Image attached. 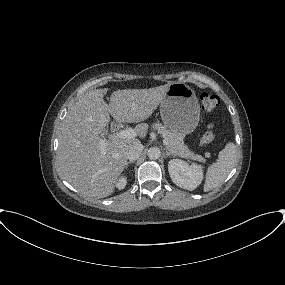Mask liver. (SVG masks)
Returning a JSON list of instances; mask_svg holds the SVG:
<instances>
[{
    "label": "liver",
    "instance_id": "1",
    "mask_svg": "<svg viewBox=\"0 0 285 285\" xmlns=\"http://www.w3.org/2000/svg\"><path fill=\"white\" fill-rule=\"evenodd\" d=\"M172 83L149 89L114 91L109 105L108 89L90 90L68 111L59 136L58 163L63 178L81 194L104 198L114 191L127 163L129 148L139 139L100 138L110 115L117 121L139 123L148 119L162 102ZM147 124H139L137 134L144 138ZM105 143L104 152L101 143Z\"/></svg>",
    "mask_w": 285,
    "mask_h": 285
}]
</instances>
